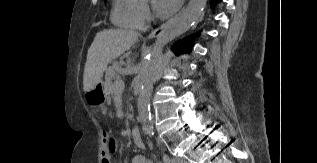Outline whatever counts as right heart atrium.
I'll return each mask as SVG.
<instances>
[{"label":"right heart atrium","instance_id":"right-heart-atrium-1","mask_svg":"<svg viewBox=\"0 0 317 163\" xmlns=\"http://www.w3.org/2000/svg\"><path fill=\"white\" fill-rule=\"evenodd\" d=\"M140 16L145 23L152 17L151 10L145 0L141 3Z\"/></svg>","mask_w":317,"mask_h":163}]
</instances>
